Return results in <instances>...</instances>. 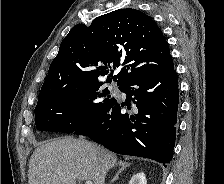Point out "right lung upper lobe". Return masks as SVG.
<instances>
[{
	"instance_id": "cb5924a9",
	"label": "right lung upper lobe",
	"mask_w": 224,
	"mask_h": 184,
	"mask_svg": "<svg viewBox=\"0 0 224 184\" xmlns=\"http://www.w3.org/2000/svg\"><path fill=\"white\" fill-rule=\"evenodd\" d=\"M120 62L124 67L113 76ZM172 67L168 43L153 19L136 9H119L70 30L50 65L38 103L70 86L99 82L109 72L106 81L122 85Z\"/></svg>"
}]
</instances>
